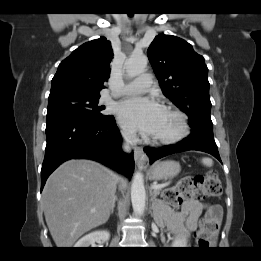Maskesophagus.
Returning <instances> with one entry per match:
<instances>
[{"label":"esophagus","instance_id":"34e87169","mask_svg":"<svg viewBox=\"0 0 261 261\" xmlns=\"http://www.w3.org/2000/svg\"><path fill=\"white\" fill-rule=\"evenodd\" d=\"M134 160L137 166L141 169L146 168L149 162L148 156L145 154L143 148L135 147Z\"/></svg>","mask_w":261,"mask_h":261}]
</instances>
